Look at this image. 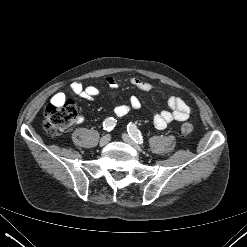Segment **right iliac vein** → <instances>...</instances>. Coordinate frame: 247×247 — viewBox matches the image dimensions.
I'll return each instance as SVG.
<instances>
[{
  "label": "right iliac vein",
  "instance_id": "1",
  "mask_svg": "<svg viewBox=\"0 0 247 247\" xmlns=\"http://www.w3.org/2000/svg\"><path fill=\"white\" fill-rule=\"evenodd\" d=\"M110 139H111V136H110L109 134L104 135V136L100 139V145H101V146H105L106 144L109 143Z\"/></svg>",
  "mask_w": 247,
  "mask_h": 247
}]
</instances>
